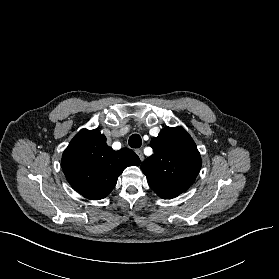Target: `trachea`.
Listing matches in <instances>:
<instances>
[{
    "label": "trachea",
    "instance_id": "3493384b",
    "mask_svg": "<svg viewBox=\"0 0 279 279\" xmlns=\"http://www.w3.org/2000/svg\"><path fill=\"white\" fill-rule=\"evenodd\" d=\"M128 143L132 148H139L142 145V139L138 134H133L130 136Z\"/></svg>",
    "mask_w": 279,
    "mask_h": 279
}]
</instances>
